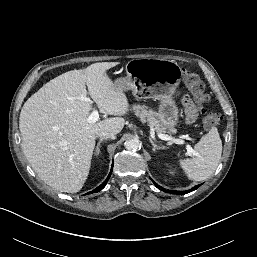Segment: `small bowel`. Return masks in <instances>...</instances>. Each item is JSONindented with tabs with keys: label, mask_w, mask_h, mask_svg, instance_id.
<instances>
[{
	"label": "small bowel",
	"mask_w": 257,
	"mask_h": 257,
	"mask_svg": "<svg viewBox=\"0 0 257 257\" xmlns=\"http://www.w3.org/2000/svg\"><path fill=\"white\" fill-rule=\"evenodd\" d=\"M183 105L185 108L187 122H189V123L193 122L197 116V111H196L193 103L191 102V100L189 98L186 97L183 99Z\"/></svg>",
	"instance_id": "c3829d8e"
}]
</instances>
